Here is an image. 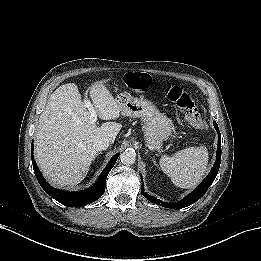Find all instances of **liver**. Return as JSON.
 <instances>
[{
	"instance_id": "liver-1",
	"label": "liver",
	"mask_w": 261,
	"mask_h": 261,
	"mask_svg": "<svg viewBox=\"0 0 261 261\" xmlns=\"http://www.w3.org/2000/svg\"><path fill=\"white\" fill-rule=\"evenodd\" d=\"M94 110L102 120H115L120 107L101 82L90 88ZM122 125L106 122L92 124L78 87L68 83L50 96L39 118L35 139V159L46 179L59 186H75L88 173L97 151L94 144L105 137L114 142Z\"/></svg>"
}]
</instances>
